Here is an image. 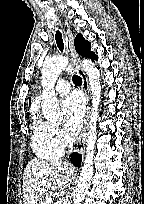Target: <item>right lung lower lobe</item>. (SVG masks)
Returning a JSON list of instances; mask_svg holds the SVG:
<instances>
[{"mask_svg": "<svg viewBox=\"0 0 144 204\" xmlns=\"http://www.w3.org/2000/svg\"><path fill=\"white\" fill-rule=\"evenodd\" d=\"M81 160H82L81 155H78L77 153H73V154L71 155V161L73 162V164H74L76 167H80V165H81Z\"/></svg>", "mask_w": 144, "mask_h": 204, "instance_id": "obj_1", "label": "right lung lower lobe"}]
</instances>
